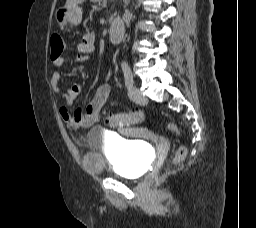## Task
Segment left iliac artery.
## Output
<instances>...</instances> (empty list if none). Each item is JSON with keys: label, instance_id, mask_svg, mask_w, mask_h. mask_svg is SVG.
Here are the masks:
<instances>
[{"label": "left iliac artery", "instance_id": "44dca946", "mask_svg": "<svg viewBox=\"0 0 256 228\" xmlns=\"http://www.w3.org/2000/svg\"><path fill=\"white\" fill-rule=\"evenodd\" d=\"M121 67L124 73L125 85L127 88H130L131 86H133L134 83L131 69L127 63H123Z\"/></svg>", "mask_w": 256, "mask_h": 228}]
</instances>
